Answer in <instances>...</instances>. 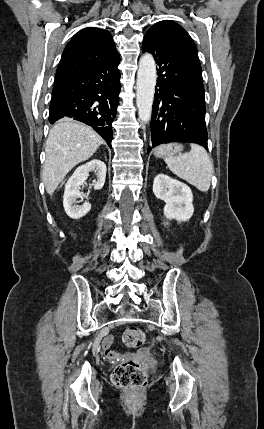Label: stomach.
Listing matches in <instances>:
<instances>
[{
    "label": "stomach",
    "instance_id": "0dacf381",
    "mask_svg": "<svg viewBox=\"0 0 264 429\" xmlns=\"http://www.w3.org/2000/svg\"><path fill=\"white\" fill-rule=\"evenodd\" d=\"M183 147L177 143L163 144L156 148L154 154L156 157H172L182 151Z\"/></svg>",
    "mask_w": 264,
    "mask_h": 429
}]
</instances>
